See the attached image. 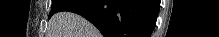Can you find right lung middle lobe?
<instances>
[{
	"label": "right lung middle lobe",
	"instance_id": "1",
	"mask_svg": "<svg viewBox=\"0 0 219 37\" xmlns=\"http://www.w3.org/2000/svg\"><path fill=\"white\" fill-rule=\"evenodd\" d=\"M68 1L66 0H53L49 17L58 12V10Z\"/></svg>",
	"mask_w": 219,
	"mask_h": 37
}]
</instances>
